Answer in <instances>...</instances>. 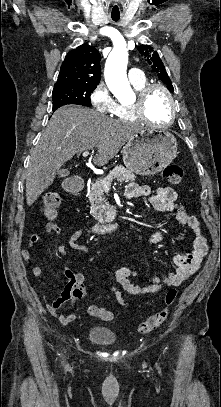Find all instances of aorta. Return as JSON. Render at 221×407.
<instances>
[{
    "mask_svg": "<svg viewBox=\"0 0 221 407\" xmlns=\"http://www.w3.org/2000/svg\"><path fill=\"white\" fill-rule=\"evenodd\" d=\"M128 52L125 44L114 47L105 64V81L118 100L131 99L134 93L127 79Z\"/></svg>",
    "mask_w": 221,
    "mask_h": 407,
    "instance_id": "aorta-1",
    "label": "aorta"
}]
</instances>
